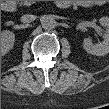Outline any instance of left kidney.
<instances>
[{
	"label": "left kidney",
	"mask_w": 109,
	"mask_h": 109,
	"mask_svg": "<svg viewBox=\"0 0 109 109\" xmlns=\"http://www.w3.org/2000/svg\"><path fill=\"white\" fill-rule=\"evenodd\" d=\"M100 24L106 28L109 27V19L107 17L100 18ZM83 47L87 53L97 56H104L109 53V33L104 35V41L99 44H93L91 39L83 40Z\"/></svg>",
	"instance_id": "obj_1"
}]
</instances>
